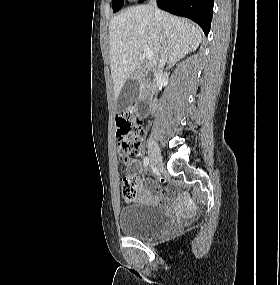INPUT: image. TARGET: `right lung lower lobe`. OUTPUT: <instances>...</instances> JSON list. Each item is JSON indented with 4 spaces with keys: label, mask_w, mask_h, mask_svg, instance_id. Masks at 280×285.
<instances>
[{
    "label": "right lung lower lobe",
    "mask_w": 280,
    "mask_h": 285,
    "mask_svg": "<svg viewBox=\"0 0 280 285\" xmlns=\"http://www.w3.org/2000/svg\"><path fill=\"white\" fill-rule=\"evenodd\" d=\"M144 0H140V3ZM159 8L196 22L208 35L213 15L214 0H157Z\"/></svg>",
    "instance_id": "right-lung-lower-lobe-1"
}]
</instances>
